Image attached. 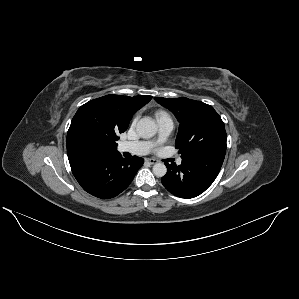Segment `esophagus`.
<instances>
[{"instance_id":"34e87169","label":"esophagus","mask_w":299,"mask_h":299,"mask_svg":"<svg viewBox=\"0 0 299 299\" xmlns=\"http://www.w3.org/2000/svg\"><path fill=\"white\" fill-rule=\"evenodd\" d=\"M145 162H147V163L153 165V164L158 163V160H157V159H153V158H146V159H145Z\"/></svg>"}]
</instances>
